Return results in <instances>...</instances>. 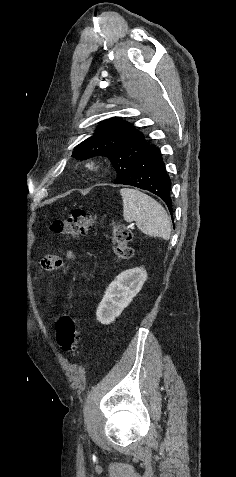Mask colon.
Segmentation results:
<instances>
[{
	"label": "colon",
	"instance_id": "1",
	"mask_svg": "<svg viewBox=\"0 0 236 477\" xmlns=\"http://www.w3.org/2000/svg\"><path fill=\"white\" fill-rule=\"evenodd\" d=\"M97 222L96 216L83 209H75L63 218L55 219L49 226L50 232L65 237L85 236ZM131 231L122 225H114L112 240L114 252L119 260H125L133 255L130 246ZM56 340L64 352L76 353L79 348V331L77 320L70 314H64L56 323Z\"/></svg>",
	"mask_w": 236,
	"mask_h": 477
}]
</instances>
